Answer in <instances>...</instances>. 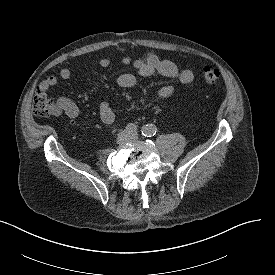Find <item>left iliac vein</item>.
Listing matches in <instances>:
<instances>
[{
	"label": "left iliac vein",
	"instance_id": "4c4485c4",
	"mask_svg": "<svg viewBox=\"0 0 275 275\" xmlns=\"http://www.w3.org/2000/svg\"><path fill=\"white\" fill-rule=\"evenodd\" d=\"M133 140H138V136L137 135H133Z\"/></svg>",
	"mask_w": 275,
	"mask_h": 275
}]
</instances>
